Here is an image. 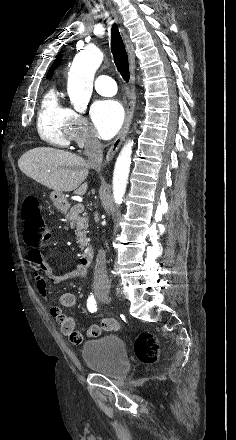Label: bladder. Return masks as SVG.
Returning <instances> with one entry per match:
<instances>
[{
	"instance_id": "bladder-1",
	"label": "bladder",
	"mask_w": 236,
	"mask_h": 440,
	"mask_svg": "<svg viewBox=\"0 0 236 440\" xmlns=\"http://www.w3.org/2000/svg\"><path fill=\"white\" fill-rule=\"evenodd\" d=\"M81 354L89 369L109 377H119L127 373L130 367L126 345L117 336L87 341L82 346Z\"/></svg>"
}]
</instances>
